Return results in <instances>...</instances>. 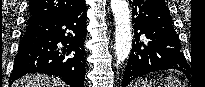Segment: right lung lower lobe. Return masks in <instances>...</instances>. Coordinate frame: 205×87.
I'll return each instance as SVG.
<instances>
[{
  "label": "right lung lower lobe",
  "instance_id": "obj_1",
  "mask_svg": "<svg viewBox=\"0 0 205 87\" xmlns=\"http://www.w3.org/2000/svg\"><path fill=\"white\" fill-rule=\"evenodd\" d=\"M85 2L56 16L27 23L9 85L28 73L54 75L83 87L86 37Z\"/></svg>",
  "mask_w": 205,
  "mask_h": 87
}]
</instances>
